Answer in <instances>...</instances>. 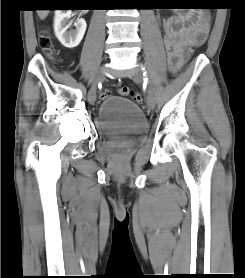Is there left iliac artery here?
Wrapping results in <instances>:
<instances>
[{
  "mask_svg": "<svg viewBox=\"0 0 245 278\" xmlns=\"http://www.w3.org/2000/svg\"><path fill=\"white\" fill-rule=\"evenodd\" d=\"M143 70H144V68H143ZM146 74V72L144 73V75ZM146 76V75H145ZM144 80H147V78H144Z\"/></svg>",
  "mask_w": 245,
  "mask_h": 278,
  "instance_id": "1",
  "label": "left iliac artery"
}]
</instances>
